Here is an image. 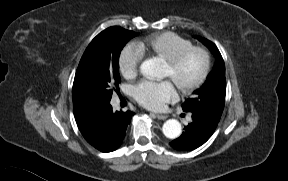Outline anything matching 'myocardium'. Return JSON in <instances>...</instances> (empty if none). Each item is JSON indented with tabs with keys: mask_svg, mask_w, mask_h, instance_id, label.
<instances>
[{
	"mask_svg": "<svg viewBox=\"0 0 288 181\" xmlns=\"http://www.w3.org/2000/svg\"><path fill=\"white\" fill-rule=\"evenodd\" d=\"M192 53H199L203 57V69L200 76L191 84L180 88L184 94L191 93L200 88L207 80L211 69V55L210 52L202 46H190L185 48L172 57L164 60L165 64L171 69L177 67L186 57Z\"/></svg>",
	"mask_w": 288,
	"mask_h": 181,
	"instance_id": "obj_1",
	"label": "myocardium"
}]
</instances>
